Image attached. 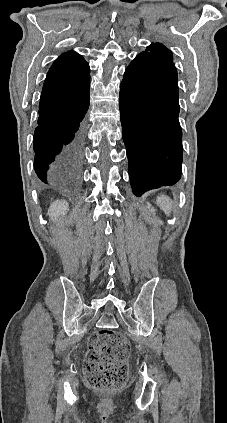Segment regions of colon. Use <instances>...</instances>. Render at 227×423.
I'll list each match as a JSON object with an SVG mask.
<instances>
[{
	"label": "colon",
	"instance_id": "obj_1",
	"mask_svg": "<svg viewBox=\"0 0 227 423\" xmlns=\"http://www.w3.org/2000/svg\"><path fill=\"white\" fill-rule=\"evenodd\" d=\"M128 340L111 329H101L91 335L85 361L87 384L98 391L121 388L128 377Z\"/></svg>",
	"mask_w": 227,
	"mask_h": 423
}]
</instances>
